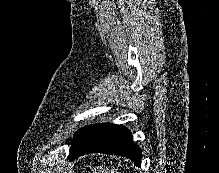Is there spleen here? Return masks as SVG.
<instances>
[{"label":"spleen","mask_w":219,"mask_h":173,"mask_svg":"<svg viewBox=\"0 0 219 173\" xmlns=\"http://www.w3.org/2000/svg\"><path fill=\"white\" fill-rule=\"evenodd\" d=\"M104 173H118L117 171L115 172L114 170H109L108 168L104 169Z\"/></svg>","instance_id":"3e777b00"}]
</instances>
